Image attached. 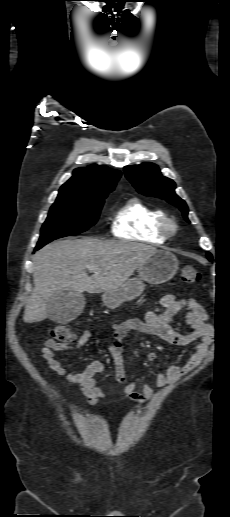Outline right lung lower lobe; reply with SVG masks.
<instances>
[{
    "instance_id": "right-lung-lower-lobe-1",
    "label": "right lung lower lobe",
    "mask_w": 230,
    "mask_h": 517,
    "mask_svg": "<svg viewBox=\"0 0 230 517\" xmlns=\"http://www.w3.org/2000/svg\"><path fill=\"white\" fill-rule=\"evenodd\" d=\"M40 247L36 246L35 250H38Z\"/></svg>"
}]
</instances>
